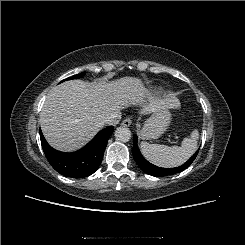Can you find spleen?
Returning <instances> with one entry per match:
<instances>
[{"mask_svg": "<svg viewBox=\"0 0 245 245\" xmlns=\"http://www.w3.org/2000/svg\"><path fill=\"white\" fill-rule=\"evenodd\" d=\"M198 130L192 131L183 139L181 146H166L141 142L142 154L153 164L160 167H176L186 162L197 149Z\"/></svg>", "mask_w": 245, "mask_h": 245, "instance_id": "obj_1", "label": "spleen"}]
</instances>
